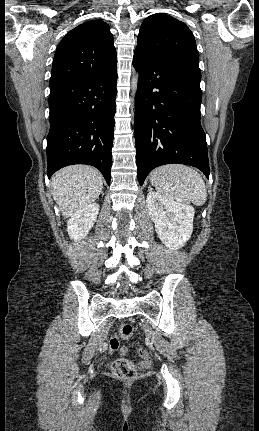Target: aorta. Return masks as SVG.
<instances>
[{"instance_id": "762f6f07", "label": "aorta", "mask_w": 259, "mask_h": 431, "mask_svg": "<svg viewBox=\"0 0 259 431\" xmlns=\"http://www.w3.org/2000/svg\"><path fill=\"white\" fill-rule=\"evenodd\" d=\"M137 84H138V75H133L132 81H131V87H132V93L133 94L136 93Z\"/></svg>"}]
</instances>
